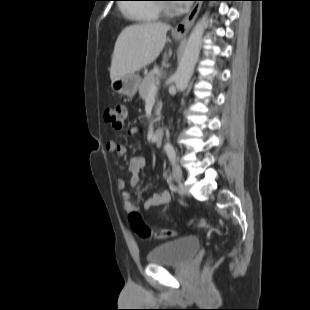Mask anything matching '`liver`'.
Here are the masks:
<instances>
[{"label":"liver","mask_w":310,"mask_h":310,"mask_svg":"<svg viewBox=\"0 0 310 310\" xmlns=\"http://www.w3.org/2000/svg\"><path fill=\"white\" fill-rule=\"evenodd\" d=\"M169 29L164 23H142L123 29L114 46L111 80L135 74L155 61L165 46Z\"/></svg>","instance_id":"1"}]
</instances>
